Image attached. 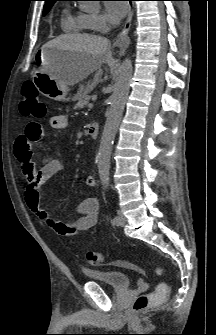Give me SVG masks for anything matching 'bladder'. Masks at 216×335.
Here are the masks:
<instances>
[{
    "label": "bladder",
    "instance_id": "bladder-1",
    "mask_svg": "<svg viewBox=\"0 0 216 335\" xmlns=\"http://www.w3.org/2000/svg\"><path fill=\"white\" fill-rule=\"evenodd\" d=\"M83 274L92 281L102 283L116 291L128 290L130 288V274L126 271L107 270H83Z\"/></svg>",
    "mask_w": 216,
    "mask_h": 335
}]
</instances>
